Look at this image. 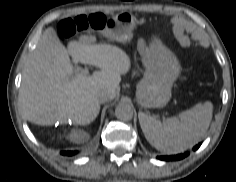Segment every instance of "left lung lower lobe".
I'll use <instances>...</instances> for the list:
<instances>
[{
    "label": "left lung lower lobe",
    "instance_id": "0a47b994",
    "mask_svg": "<svg viewBox=\"0 0 236 182\" xmlns=\"http://www.w3.org/2000/svg\"><path fill=\"white\" fill-rule=\"evenodd\" d=\"M201 143H199L198 145H196L193 150H197L200 147ZM189 153H185V154H179V155H175V156H160L158 157V159L160 160H166V161H170V160H180L183 159L184 157L188 156Z\"/></svg>",
    "mask_w": 236,
    "mask_h": 182
}]
</instances>
